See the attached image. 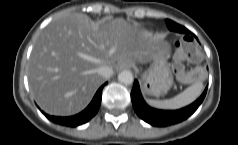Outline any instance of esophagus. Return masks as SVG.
<instances>
[{
    "instance_id": "34e87169",
    "label": "esophagus",
    "mask_w": 238,
    "mask_h": 145,
    "mask_svg": "<svg viewBox=\"0 0 238 145\" xmlns=\"http://www.w3.org/2000/svg\"><path fill=\"white\" fill-rule=\"evenodd\" d=\"M131 68V62L130 61H123L119 64V69H129Z\"/></svg>"
}]
</instances>
